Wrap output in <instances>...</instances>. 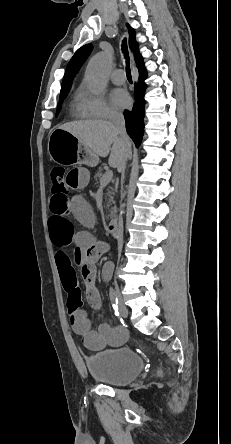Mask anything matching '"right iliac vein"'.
I'll list each match as a JSON object with an SVG mask.
<instances>
[{"mask_svg":"<svg viewBox=\"0 0 231 444\" xmlns=\"http://www.w3.org/2000/svg\"><path fill=\"white\" fill-rule=\"evenodd\" d=\"M116 295H117V297L119 299L118 308H119L120 315L122 317H127L128 310H127L125 304L123 303V300L121 298V295H120V292H119L118 288L116 289Z\"/></svg>","mask_w":231,"mask_h":444,"instance_id":"right-iliac-vein-1","label":"right iliac vein"}]
</instances>
